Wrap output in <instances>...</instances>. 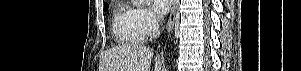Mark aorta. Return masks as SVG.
Here are the masks:
<instances>
[{
	"label": "aorta",
	"instance_id": "762f6f07",
	"mask_svg": "<svg viewBox=\"0 0 301 71\" xmlns=\"http://www.w3.org/2000/svg\"><path fill=\"white\" fill-rule=\"evenodd\" d=\"M147 0H133V3L136 5V6H140V5H143Z\"/></svg>",
	"mask_w": 301,
	"mask_h": 71
}]
</instances>
